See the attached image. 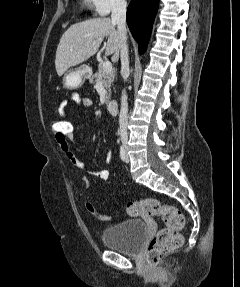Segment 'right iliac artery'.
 <instances>
[{
  "label": "right iliac artery",
  "mask_w": 240,
  "mask_h": 287,
  "mask_svg": "<svg viewBox=\"0 0 240 287\" xmlns=\"http://www.w3.org/2000/svg\"><path fill=\"white\" fill-rule=\"evenodd\" d=\"M126 157V151L123 146L120 147V158L124 161Z\"/></svg>",
  "instance_id": "82829eb1"
}]
</instances>
